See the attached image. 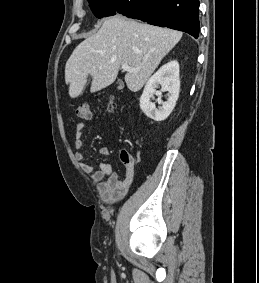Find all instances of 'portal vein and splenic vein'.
<instances>
[{
	"instance_id": "18ae733b",
	"label": "portal vein and splenic vein",
	"mask_w": 259,
	"mask_h": 283,
	"mask_svg": "<svg viewBox=\"0 0 259 283\" xmlns=\"http://www.w3.org/2000/svg\"><path fill=\"white\" fill-rule=\"evenodd\" d=\"M122 70H123V71H128V72H136V71H138V69H135V68H133V67H130V66L127 65V64H123V65H122Z\"/></svg>"
}]
</instances>
